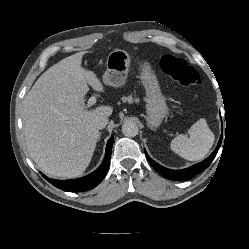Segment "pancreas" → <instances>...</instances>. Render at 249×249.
Instances as JSON below:
<instances>
[{
  "label": "pancreas",
  "mask_w": 249,
  "mask_h": 249,
  "mask_svg": "<svg viewBox=\"0 0 249 249\" xmlns=\"http://www.w3.org/2000/svg\"><path fill=\"white\" fill-rule=\"evenodd\" d=\"M121 99H122L123 102H128V103L138 102L139 101L138 98L134 99L131 95H129V96H123Z\"/></svg>",
  "instance_id": "obj_1"
}]
</instances>
